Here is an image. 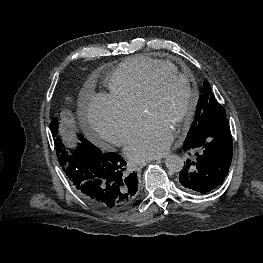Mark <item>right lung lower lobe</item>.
<instances>
[{"instance_id": "right-lung-lower-lobe-1", "label": "right lung lower lobe", "mask_w": 263, "mask_h": 263, "mask_svg": "<svg viewBox=\"0 0 263 263\" xmlns=\"http://www.w3.org/2000/svg\"><path fill=\"white\" fill-rule=\"evenodd\" d=\"M63 170L84 200L104 210L127 207L138 190L136 173L126 172V162L117 153L80 151Z\"/></svg>"}]
</instances>
